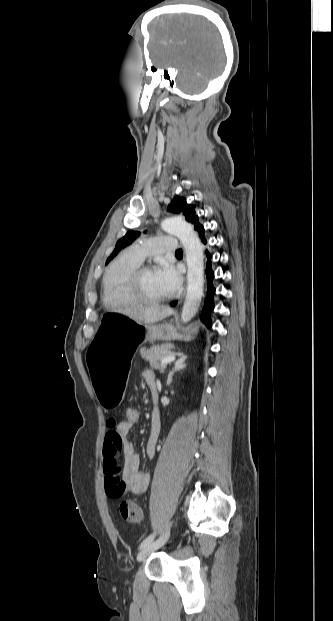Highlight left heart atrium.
<instances>
[{"mask_svg": "<svg viewBox=\"0 0 333 621\" xmlns=\"http://www.w3.org/2000/svg\"><path fill=\"white\" fill-rule=\"evenodd\" d=\"M156 275L165 287L168 294L176 291L181 284V277L177 270L168 263L162 264L157 270Z\"/></svg>", "mask_w": 333, "mask_h": 621, "instance_id": "39dd6f15", "label": "left heart atrium"}]
</instances>
